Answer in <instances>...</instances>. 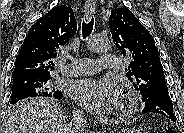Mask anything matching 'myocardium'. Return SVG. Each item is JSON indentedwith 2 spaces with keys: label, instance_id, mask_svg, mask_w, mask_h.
Instances as JSON below:
<instances>
[{
  "label": "myocardium",
  "instance_id": "1",
  "mask_svg": "<svg viewBox=\"0 0 184 133\" xmlns=\"http://www.w3.org/2000/svg\"><path fill=\"white\" fill-rule=\"evenodd\" d=\"M134 109L135 103L130 92L123 93L116 110L117 117L120 119H125L133 113Z\"/></svg>",
  "mask_w": 184,
  "mask_h": 133
}]
</instances>
